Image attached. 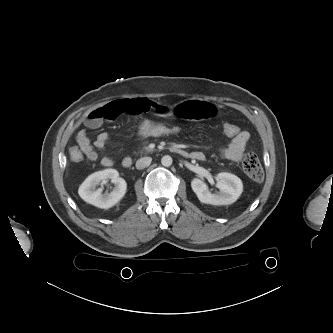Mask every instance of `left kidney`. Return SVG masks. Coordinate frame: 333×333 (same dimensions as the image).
Listing matches in <instances>:
<instances>
[{
  "label": "left kidney",
  "instance_id": "obj_1",
  "mask_svg": "<svg viewBox=\"0 0 333 333\" xmlns=\"http://www.w3.org/2000/svg\"><path fill=\"white\" fill-rule=\"evenodd\" d=\"M216 187L219 192L212 193L206 183L195 178L191 187L200 202L212 205H229L234 203L243 191V184L239 177L234 174L221 172L216 175Z\"/></svg>",
  "mask_w": 333,
  "mask_h": 333
}]
</instances>
